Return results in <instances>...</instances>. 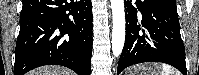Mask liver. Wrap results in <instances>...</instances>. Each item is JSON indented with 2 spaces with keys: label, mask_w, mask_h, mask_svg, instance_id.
<instances>
[{
  "label": "liver",
  "mask_w": 199,
  "mask_h": 75,
  "mask_svg": "<svg viewBox=\"0 0 199 75\" xmlns=\"http://www.w3.org/2000/svg\"><path fill=\"white\" fill-rule=\"evenodd\" d=\"M27 75H74V72L60 66H44L29 72Z\"/></svg>",
  "instance_id": "1"
}]
</instances>
